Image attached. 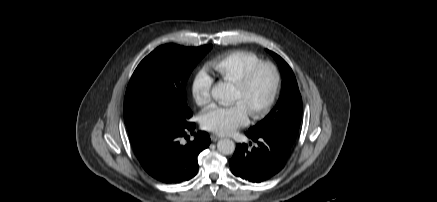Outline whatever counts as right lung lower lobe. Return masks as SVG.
I'll return each instance as SVG.
<instances>
[{
    "label": "right lung lower lobe",
    "instance_id": "1",
    "mask_svg": "<svg viewBox=\"0 0 437 202\" xmlns=\"http://www.w3.org/2000/svg\"><path fill=\"white\" fill-rule=\"evenodd\" d=\"M195 123L186 122L182 126L172 125L134 148L144 170L163 183H180L193 178L198 172L199 153L211 142L209 135L200 131L193 141L182 144L187 133L193 134Z\"/></svg>",
    "mask_w": 437,
    "mask_h": 202
}]
</instances>
